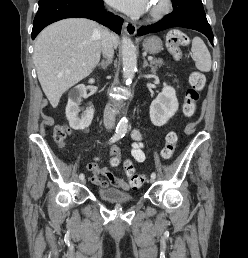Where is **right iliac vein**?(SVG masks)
Listing matches in <instances>:
<instances>
[{
	"label": "right iliac vein",
	"mask_w": 248,
	"mask_h": 258,
	"mask_svg": "<svg viewBox=\"0 0 248 258\" xmlns=\"http://www.w3.org/2000/svg\"><path fill=\"white\" fill-rule=\"evenodd\" d=\"M81 183H82V184H85V183H86V180H85V179H81Z\"/></svg>",
	"instance_id": "right-iliac-vein-1"
}]
</instances>
